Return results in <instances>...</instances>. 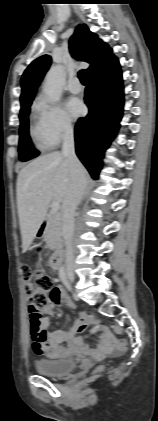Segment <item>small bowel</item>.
Returning <instances> with one entry per match:
<instances>
[{
    "instance_id": "c3829d8e",
    "label": "small bowel",
    "mask_w": 158,
    "mask_h": 421,
    "mask_svg": "<svg viewBox=\"0 0 158 421\" xmlns=\"http://www.w3.org/2000/svg\"><path fill=\"white\" fill-rule=\"evenodd\" d=\"M65 306L69 309H75L74 303L71 301L65 290L61 286H55L50 291L48 303L40 310L41 313L53 316L56 308ZM92 318L84 312L77 313L75 324L67 331L52 330V322L49 319L39 321L33 325L30 322V331L33 340V350L35 353L45 355L51 359L68 356L70 349L62 346L64 342H68L72 347L81 345V338L77 336V332L91 325ZM114 338L110 332H105L95 352L99 355L108 353L113 345Z\"/></svg>"
}]
</instances>
